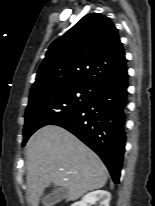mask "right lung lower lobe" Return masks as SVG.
I'll return each mask as SVG.
<instances>
[{
    "label": "right lung lower lobe",
    "mask_w": 155,
    "mask_h": 206,
    "mask_svg": "<svg viewBox=\"0 0 155 206\" xmlns=\"http://www.w3.org/2000/svg\"><path fill=\"white\" fill-rule=\"evenodd\" d=\"M127 71L102 86L93 99L54 125L65 128L95 151L118 184L125 151Z\"/></svg>",
    "instance_id": "right-lung-lower-lobe-1"
}]
</instances>
